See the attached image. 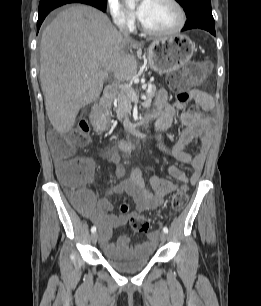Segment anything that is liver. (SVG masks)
I'll return each mask as SVG.
<instances>
[{
	"label": "liver",
	"mask_w": 261,
	"mask_h": 306,
	"mask_svg": "<svg viewBox=\"0 0 261 306\" xmlns=\"http://www.w3.org/2000/svg\"><path fill=\"white\" fill-rule=\"evenodd\" d=\"M138 45L98 9L73 5L61 11L40 43L41 89L54 129H72L79 110L99 98L109 72L119 81L132 79L137 62L125 48Z\"/></svg>",
	"instance_id": "6515ba94"
}]
</instances>
